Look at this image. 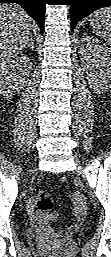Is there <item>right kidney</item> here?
<instances>
[{
	"instance_id": "right-kidney-1",
	"label": "right kidney",
	"mask_w": 111,
	"mask_h": 257,
	"mask_svg": "<svg viewBox=\"0 0 111 257\" xmlns=\"http://www.w3.org/2000/svg\"><path fill=\"white\" fill-rule=\"evenodd\" d=\"M32 70V63L26 56L16 57L8 65L1 68V94L9 98L26 84Z\"/></svg>"
}]
</instances>
